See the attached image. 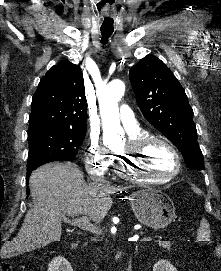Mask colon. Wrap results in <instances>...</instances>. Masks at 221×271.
Wrapping results in <instances>:
<instances>
[{"label": "colon", "mask_w": 221, "mask_h": 271, "mask_svg": "<svg viewBox=\"0 0 221 271\" xmlns=\"http://www.w3.org/2000/svg\"><path fill=\"white\" fill-rule=\"evenodd\" d=\"M0 270H1V271H11V269H10V267H9L8 264L3 265V267L0 268Z\"/></svg>", "instance_id": "1"}]
</instances>
